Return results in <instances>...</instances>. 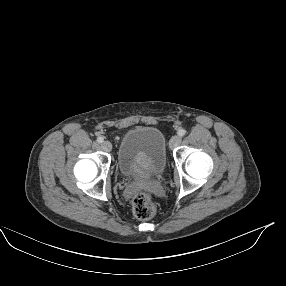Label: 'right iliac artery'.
Listing matches in <instances>:
<instances>
[{
	"mask_svg": "<svg viewBox=\"0 0 286 286\" xmlns=\"http://www.w3.org/2000/svg\"><path fill=\"white\" fill-rule=\"evenodd\" d=\"M103 140H104V139H103V137H101V136L97 138V142H98V143H102Z\"/></svg>",
	"mask_w": 286,
	"mask_h": 286,
	"instance_id": "right-iliac-artery-1",
	"label": "right iliac artery"
}]
</instances>
